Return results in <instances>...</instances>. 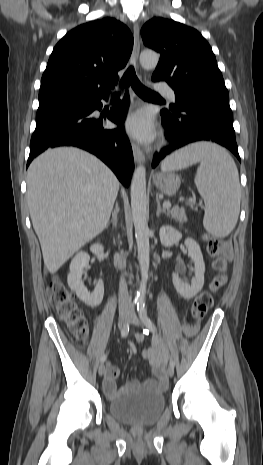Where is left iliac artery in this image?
<instances>
[{"instance_id":"44dca946","label":"left iliac artery","mask_w":263,"mask_h":465,"mask_svg":"<svg viewBox=\"0 0 263 465\" xmlns=\"http://www.w3.org/2000/svg\"><path fill=\"white\" fill-rule=\"evenodd\" d=\"M137 310H138V314H139V317L141 319V321L144 323V325L146 326V331L147 333H149V331L153 334H157V328L155 326V324L152 322V320L147 316V312H146V309H145V303L144 302H139L138 305H137ZM170 365L172 367L175 366V362L173 359L170 360Z\"/></svg>"}]
</instances>
